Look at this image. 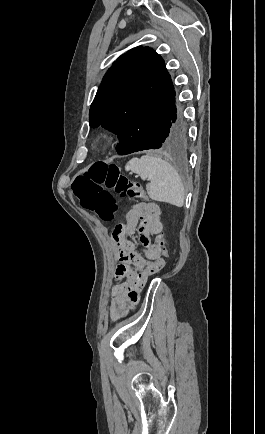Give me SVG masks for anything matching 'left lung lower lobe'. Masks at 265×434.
Masks as SVG:
<instances>
[{
	"label": "left lung lower lobe",
	"mask_w": 265,
	"mask_h": 434,
	"mask_svg": "<svg viewBox=\"0 0 265 434\" xmlns=\"http://www.w3.org/2000/svg\"><path fill=\"white\" fill-rule=\"evenodd\" d=\"M189 147L187 128L182 122L176 105L167 113L165 120L155 127L139 131L116 146L120 155L149 150L152 153H184Z\"/></svg>",
	"instance_id": "1"
}]
</instances>
